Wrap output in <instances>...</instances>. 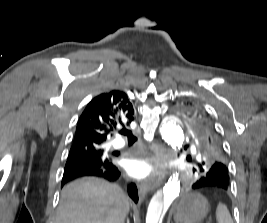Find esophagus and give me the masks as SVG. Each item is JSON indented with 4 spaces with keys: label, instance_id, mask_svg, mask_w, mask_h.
Returning a JSON list of instances; mask_svg holds the SVG:
<instances>
[{
    "label": "esophagus",
    "instance_id": "1",
    "mask_svg": "<svg viewBox=\"0 0 267 223\" xmlns=\"http://www.w3.org/2000/svg\"><path fill=\"white\" fill-rule=\"evenodd\" d=\"M172 155L170 151L161 144H157L154 147L152 161L155 165V171L152 175V181L148 182L147 185H140L139 194L144 197L146 193L153 189L155 184V178L158 181L162 180L168 174L167 164L171 160Z\"/></svg>",
    "mask_w": 267,
    "mask_h": 223
}]
</instances>
